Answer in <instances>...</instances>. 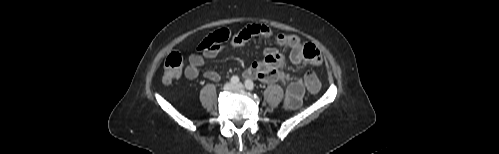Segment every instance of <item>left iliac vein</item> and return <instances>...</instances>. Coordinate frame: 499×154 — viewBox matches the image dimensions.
<instances>
[{
	"mask_svg": "<svg viewBox=\"0 0 499 154\" xmlns=\"http://www.w3.org/2000/svg\"><path fill=\"white\" fill-rule=\"evenodd\" d=\"M235 89L243 90L244 89V85L241 84V83H238V84L235 85Z\"/></svg>",
	"mask_w": 499,
	"mask_h": 154,
	"instance_id": "obj_1",
	"label": "left iliac vein"
}]
</instances>
